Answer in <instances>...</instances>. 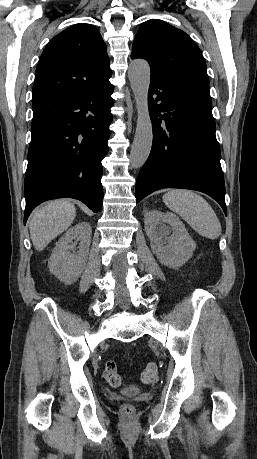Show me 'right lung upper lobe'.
I'll list each match as a JSON object with an SVG mask.
<instances>
[{
	"instance_id": "cb5924a9",
	"label": "right lung upper lobe",
	"mask_w": 257,
	"mask_h": 459,
	"mask_svg": "<svg viewBox=\"0 0 257 459\" xmlns=\"http://www.w3.org/2000/svg\"><path fill=\"white\" fill-rule=\"evenodd\" d=\"M107 47L93 25L76 24L46 46L36 68L32 107L77 97L109 82Z\"/></svg>"
}]
</instances>
